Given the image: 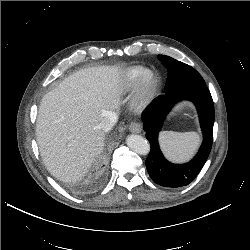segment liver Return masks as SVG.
<instances>
[{"instance_id": "liver-1", "label": "liver", "mask_w": 250, "mask_h": 250, "mask_svg": "<svg viewBox=\"0 0 250 250\" xmlns=\"http://www.w3.org/2000/svg\"><path fill=\"white\" fill-rule=\"evenodd\" d=\"M122 70L89 67L65 78L41 100L36 123L40 154L57 179L80 180L103 151L100 122L119 107Z\"/></svg>"}]
</instances>
